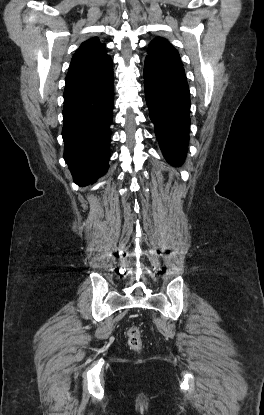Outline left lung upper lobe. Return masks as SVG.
<instances>
[{
	"instance_id": "obj_1",
	"label": "left lung upper lobe",
	"mask_w": 264,
	"mask_h": 415,
	"mask_svg": "<svg viewBox=\"0 0 264 415\" xmlns=\"http://www.w3.org/2000/svg\"><path fill=\"white\" fill-rule=\"evenodd\" d=\"M182 65L179 53L165 39L157 37L148 47V56Z\"/></svg>"
}]
</instances>
